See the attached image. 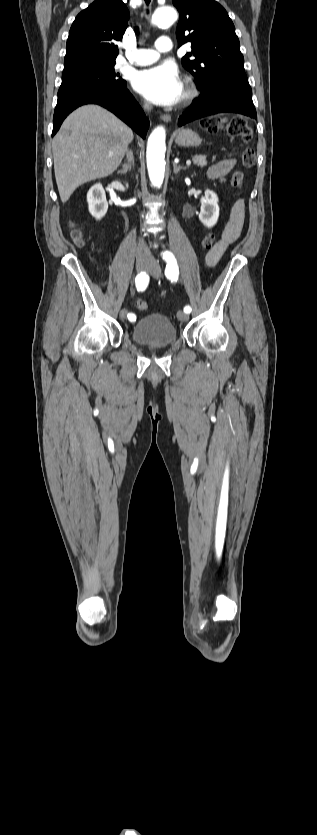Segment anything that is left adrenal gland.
I'll list each match as a JSON object with an SVG mask.
<instances>
[{
    "mask_svg": "<svg viewBox=\"0 0 317 835\" xmlns=\"http://www.w3.org/2000/svg\"><path fill=\"white\" fill-rule=\"evenodd\" d=\"M181 169H183V170H184V169H186V167H183V166H177V165H176V163H174V162H173V172H174L175 174H177V173H178Z\"/></svg>",
    "mask_w": 317,
    "mask_h": 835,
    "instance_id": "a2214340",
    "label": "left adrenal gland"
}]
</instances>
